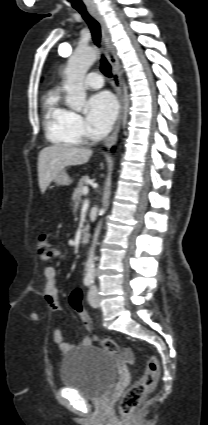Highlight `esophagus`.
<instances>
[{
	"label": "esophagus",
	"instance_id": "34e87169",
	"mask_svg": "<svg viewBox=\"0 0 208 425\" xmlns=\"http://www.w3.org/2000/svg\"><path fill=\"white\" fill-rule=\"evenodd\" d=\"M88 11L99 22L101 26L102 39H103V43L105 47V52L107 55V59L112 67L113 86L117 94V98H118L119 106H120L119 115L114 125L113 131L111 135L105 141V147L110 149L117 141L118 133L121 126L123 108H124L123 95H122V89H121V77L119 74L120 64H119V59L116 54L115 48L111 42L109 30L103 16L100 14V12L98 11L96 7L90 6L88 7Z\"/></svg>",
	"mask_w": 208,
	"mask_h": 425
}]
</instances>
